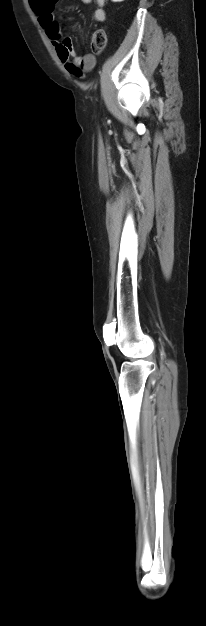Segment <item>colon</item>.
<instances>
[{
	"mask_svg": "<svg viewBox=\"0 0 206 626\" xmlns=\"http://www.w3.org/2000/svg\"><path fill=\"white\" fill-rule=\"evenodd\" d=\"M106 44L107 37L105 31L102 29L94 31L91 38V48L93 52L97 54L101 53L105 49Z\"/></svg>",
	"mask_w": 206,
	"mask_h": 626,
	"instance_id": "obj_1",
	"label": "colon"
}]
</instances>
